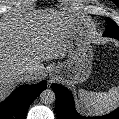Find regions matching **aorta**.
Listing matches in <instances>:
<instances>
[{"label": "aorta", "mask_w": 119, "mask_h": 119, "mask_svg": "<svg viewBox=\"0 0 119 119\" xmlns=\"http://www.w3.org/2000/svg\"><path fill=\"white\" fill-rule=\"evenodd\" d=\"M56 96L52 89H45L40 94V101L43 104H51L55 101Z\"/></svg>", "instance_id": "obj_1"}]
</instances>
